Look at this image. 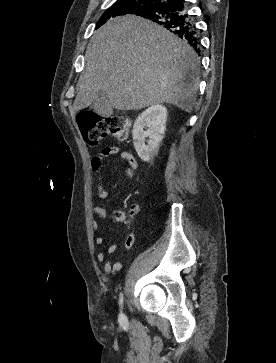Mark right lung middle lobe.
<instances>
[{
  "mask_svg": "<svg viewBox=\"0 0 276 363\" xmlns=\"http://www.w3.org/2000/svg\"><path fill=\"white\" fill-rule=\"evenodd\" d=\"M156 1L157 0H117L102 14L99 21L96 23V28L102 26L111 17L125 14H135L155 4Z\"/></svg>",
  "mask_w": 276,
  "mask_h": 363,
  "instance_id": "dd1d6c3e",
  "label": "right lung middle lobe"
}]
</instances>
